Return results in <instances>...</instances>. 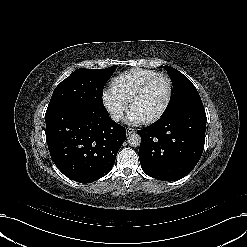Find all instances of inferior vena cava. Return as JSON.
<instances>
[{
	"instance_id": "602c4592",
	"label": "inferior vena cava",
	"mask_w": 247,
	"mask_h": 247,
	"mask_svg": "<svg viewBox=\"0 0 247 247\" xmlns=\"http://www.w3.org/2000/svg\"><path fill=\"white\" fill-rule=\"evenodd\" d=\"M110 117L114 121L119 122L123 118V112L118 110V109L111 110L110 111Z\"/></svg>"
}]
</instances>
